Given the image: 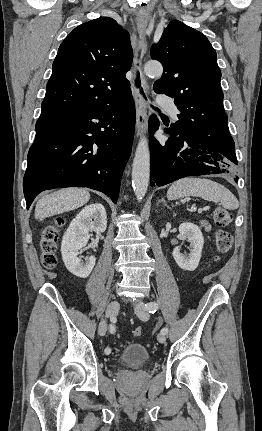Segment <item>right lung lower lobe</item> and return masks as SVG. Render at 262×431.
<instances>
[{
    "label": "right lung lower lobe",
    "mask_w": 262,
    "mask_h": 431,
    "mask_svg": "<svg viewBox=\"0 0 262 431\" xmlns=\"http://www.w3.org/2000/svg\"><path fill=\"white\" fill-rule=\"evenodd\" d=\"M134 126L131 92L98 110L41 113L23 180L27 208L40 192L63 187L95 189L116 203Z\"/></svg>",
    "instance_id": "right-lung-lower-lobe-1"
}]
</instances>
